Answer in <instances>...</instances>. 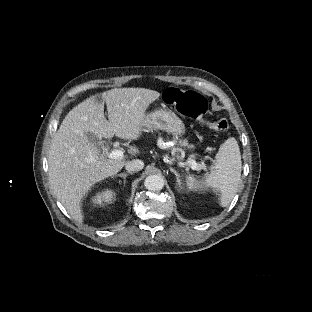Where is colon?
I'll return each instance as SVG.
<instances>
[{
  "mask_svg": "<svg viewBox=\"0 0 312 312\" xmlns=\"http://www.w3.org/2000/svg\"><path fill=\"white\" fill-rule=\"evenodd\" d=\"M164 100L168 106L177 109L180 113L189 118L203 122L209 129L226 131L229 127L228 122L224 118L203 121V114L207 110V102L199 93L170 88L165 93Z\"/></svg>",
  "mask_w": 312,
  "mask_h": 312,
  "instance_id": "colon-1",
  "label": "colon"
}]
</instances>
